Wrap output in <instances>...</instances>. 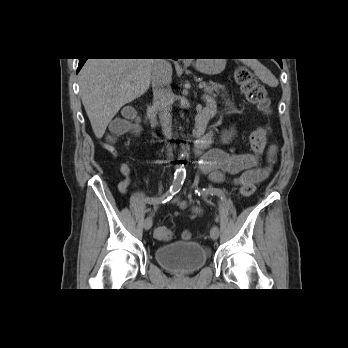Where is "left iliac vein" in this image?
I'll return each mask as SVG.
<instances>
[{"label":"left iliac vein","mask_w":348,"mask_h":348,"mask_svg":"<svg viewBox=\"0 0 348 348\" xmlns=\"http://www.w3.org/2000/svg\"><path fill=\"white\" fill-rule=\"evenodd\" d=\"M210 236L213 240H216L219 237V228L217 226L211 228Z\"/></svg>","instance_id":"obj_1"}]
</instances>
